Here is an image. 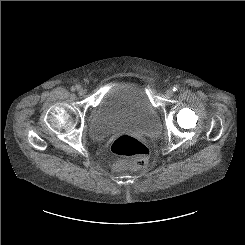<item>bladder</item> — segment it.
I'll list each match as a JSON object with an SVG mask.
<instances>
[{"instance_id":"bladder-1","label":"bladder","mask_w":245,"mask_h":245,"mask_svg":"<svg viewBox=\"0 0 245 245\" xmlns=\"http://www.w3.org/2000/svg\"><path fill=\"white\" fill-rule=\"evenodd\" d=\"M160 125V117L151 104L140 81L125 77L109 89L88 123V135L102 140L119 126L152 134Z\"/></svg>"}]
</instances>
